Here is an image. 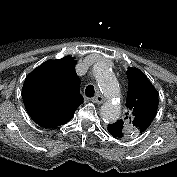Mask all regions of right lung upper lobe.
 I'll use <instances>...</instances> for the list:
<instances>
[{
    "instance_id": "cb5924a9",
    "label": "right lung upper lobe",
    "mask_w": 177,
    "mask_h": 177,
    "mask_svg": "<svg viewBox=\"0 0 177 177\" xmlns=\"http://www.w3.org/2000/svg\"><path fill=\"white\" fill-rule=\"evenodd\" d=\"M76 61L70 56L49 60L25 79L22 97L30 117L41 127L66 124L83 103Z\"/></svg>"
}]
</instances>
